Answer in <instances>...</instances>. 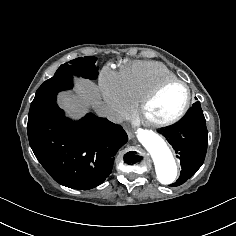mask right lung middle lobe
<instances>
[{"instance_id": "1", "label": "right lung middle lobe", "mask_w": 236, "mask_h": 236, "mask_svg": "<svg viewBox=\"0 0 236 236\" xmlns=\"http://www.w3.org/2000/svg\"><path fill=\"white\" fill-rule=\"evenodd\" d=\"M97 58L93 56L79 57L61 65L54 76L46 80L37 90L32 103L46 98L59 91L72 87L73 76L96 79L98 67L95 66Z\"/></svg>"}]
</instances>
